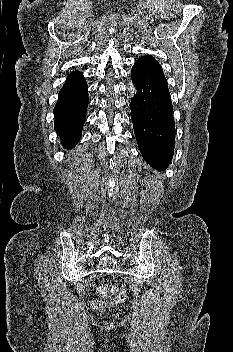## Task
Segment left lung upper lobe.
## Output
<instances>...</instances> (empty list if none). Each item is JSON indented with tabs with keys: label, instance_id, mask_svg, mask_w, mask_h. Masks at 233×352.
Returning a JSON list of instances; mask_svg holds the SVG:
<instances>
[{
	"label": "left lung upper lobe",
	"instance_id": "5c2ea615",
	"mask_svg": "<svg viewBox=\"0 0 233 352\" xmlns=\"http://www.w3.org/2000/svg\"><path fill=\"white\" fill-rule=\"evenodd\" d=\"M139 61H141L146 66L153 69L154 71L158 72L159 74L164 75L161 65L152 56L150 55L141 56L139 58Z\"/></svg>",
	"mask_w": 233,
	"mask_h": 352
}]
</instances>
